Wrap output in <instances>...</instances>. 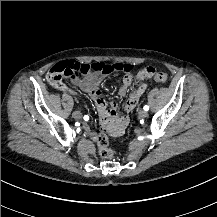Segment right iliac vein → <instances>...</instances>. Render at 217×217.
<instances>
[{"label": "right iliac vein", "mask_w": 217, "mask_h": 217, "mask_svg": "<svg viewBox=\"0 0 217 217\" xmlns=\"http://www.w3.org/2000/svg\"><path fill=\"white\" fill-rule=\"evenodd\" d=\"M72 116H73L75 119L79 120V119L82 117V114H81L80 111H74L73 114H72Z\"/></svg>", "instance_id": "obj_1"}]
</instances>
